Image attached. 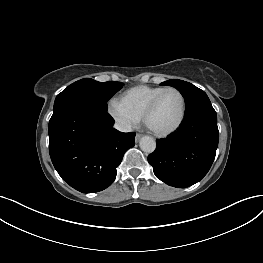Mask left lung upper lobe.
I'll return each mask as SVG.
<instances>
[{
    "mask_svg": "<svg viewBox=\"0 0 263 263\" xmlns=\"http://www.w3.org/2000/svg\"><path fill=\"white\" fill-rule=\"evenodd\" d=\"M161 85H170L180 91L185 99V114H188L200 107L211 105L206 93L189 82L171 79L161 83Z\"/></svg>",
    "mask_w": 263,
    "mask_h": 263,
    "instance_id": "5c2ea615",
    "label": "left lung upper lobe"
}]
</instances>
